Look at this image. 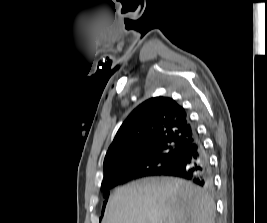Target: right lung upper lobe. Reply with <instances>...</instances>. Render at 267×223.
Masks as SVG:
<instances>
[{"mask_svg": "<svg viewBox=\"0 0 267 223\" xmlns=\"http://www.w3.org/2000/svg\"><path fill=\"white\" fill-rule=\"evenodd\" d=\"M196 139L195 129L185 111L168 97H155L140 104L118 130L104 159V180L136 171L132 167L162 146L181 151ZM102 182V184H103Z\"/></svg>", "mask_w": 267, "mask_h": 223, "instance_id": "right-lung-upper-lobe-1", "label": "right lung upper lobe"}]
</instances>
